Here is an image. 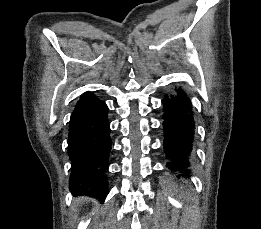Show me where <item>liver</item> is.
Instances as JSON below:
<instances>
[{"instance_id": "liver-1", "label": "liver", "mask_w": 261, "mask_h": 229, "mask_svg": "<svg viewBox=\"0 0 261 229\" xmlns=\"http://www.w3.org/2000/svg\"><path fill=\"white\" fill-rule=\"evenodd\" d=\"M78 201H83V199H78Z\"/></svg>"}]
</instances>
